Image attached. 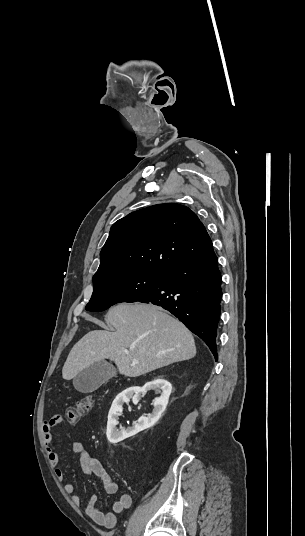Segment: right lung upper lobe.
<instances>
[{"label": "right lung upper lobe", "instance_id": "right-lung-upper-lobe-1", "mask_svg": "<svg viewBox=\"0 0 305 536\" xmlns=\"http://www.w3.org/2000/svg\"><path fill=\"white\" fill-rule=\"evenodd\" d=\"M212 250V241L192 210L173 203L154 205L113 224L93 280L136 271L167 273Z\"/></svg>", "mask_w": 305, "mask_h": 536}]
</instances>
